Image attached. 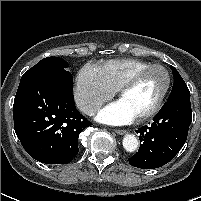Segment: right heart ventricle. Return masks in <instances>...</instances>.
I'll list each match as a JSON object with an SVG mask.
<instances>
[{"label":"right heart ventricle","mask_w":201,"mask_h":201,"mask_svg":"<svg viewBox=\"0 0 201 201\" xmlns=\"http://www.w3.org/2000/svg\"><path fill=\"white\" fill-rule=\"evenodd\" d=\"M151 63L134 58L109 60L97 68L105 83L114 91L135 72L150 66Z\"/></svg>","instance_id":"1"}]
</instances>
